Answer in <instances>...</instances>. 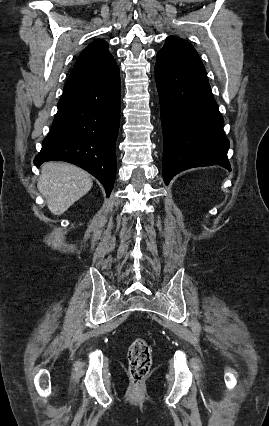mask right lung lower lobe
<instances>
[{"label": "right lung lower lobe", "mask_w": 269, "mask_h": 426, "mask_svg": "<svg viewBox=\"0 0 269 426\" xmlns=\"http://www.w3.org/2000/svg\"><path fill=\"white\" fill-rule=\"evenodd\" d=\"M121 107L120 70L68 80L52 128L34 164H75L95 176L110 195L116 175L115 143Z\"/></svg>", "instance_id": "1"}]
</instances>
